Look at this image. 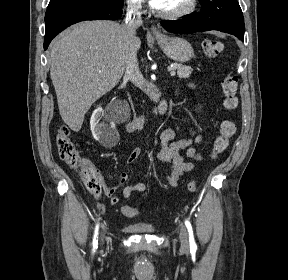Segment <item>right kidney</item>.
Segmentation results:
<instances>
[{"mask_svg":"<svg viewBox=\"0 0 288 280\" xmlns=\"http://www.w3.org/2000/svg\"><path fill=\"white\" fill-rule=\"evenodd\" d=\"M90 127L93 137L103 146H111L116 140L115 124L98 107L92 114Z\"/></svg>","mask_w":288,"mask_h":280,"instance_id":"1","label":"right kidney"}]
</instances>
